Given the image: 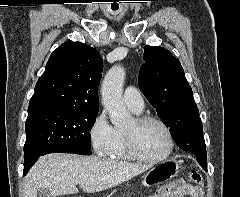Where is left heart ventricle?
I'll use <instances>...</instances> for the list:
<instances>
[{
  "label": "left heart ventricle",
  "instance_id": "obj_1",
  "mask_svg": "<svg viewBox=\"0 0 240 197\" xmlns=\"http://www.w3.org/2000/svg\"><path fill=\"white\" fill-rule=\"evenodd\" d=\"M125 130L135 131L138 147L145 155L157 158L166 153L168 149L167 134L158 123L147 122L136 126L133 120Z\"/></svg>",
  "mask_w": 240,
  "mask_h": 197
}]
</instances>
